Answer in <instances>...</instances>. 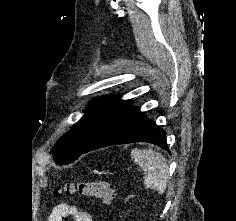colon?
<instances>
[{"label":"colon","instance_id":"obj_1","mask_svg":"<svg viewBox=\"0 0 236 221\" xmlns=\"http://www.w3.org/2000/svg\"><path fill=\"white\" fill-rule=\"evenodd\" d=\"M64 194H79L84 197L96 198L105 204H111L115 198V190L104 181L71 182L53 192L55 197H61Z\"/></svg>","mask_w":236,"mask_h":221}]
</instances>
